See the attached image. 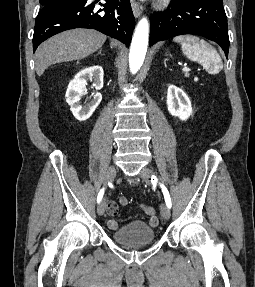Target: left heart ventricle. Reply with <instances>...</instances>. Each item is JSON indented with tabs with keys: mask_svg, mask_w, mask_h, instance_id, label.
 Returning <instances> with one entry per match:
<instances>
[{
	"mask_svg": "<svg viewBox=\"0 0 255 287\" xmlns=\"http://www.w3.org/2000/svg\"><path fill=\"white\" fill-rule=\"evenodd\" d=\"M149 39H157V38H149ZM136 48H163V47H136Z\"/></svg>",
	"mask_w": 255,
	"mask_h": 287,
	"instance_id": "1",
	"label": "left heart ventricle"
}]
</instances>
